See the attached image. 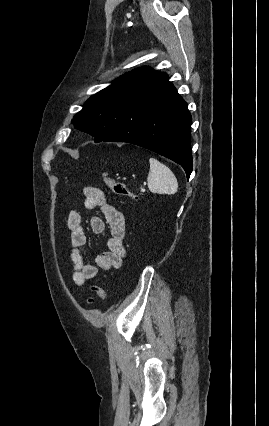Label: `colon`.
Here are the masks:
<instances>
[{"mask_svg": "<svg viewBox=\"0 0 269 426\" xmlns=\"http://www.w3.org/2000/svg\"><path fill=\"white\" fill-rule=\"evenodd\" d=\"M102 181L104 185L115 195L134 198V194L124 183L114 180L107 173L102 174ZM91 292L92 296L89 298L90 303L101 301L105 298V291L100 285L93 284L91 286Z\"/></svg>", "mask_w": 269, "mask_h": 426, "instance_id": "5ec220e1", "label": "colon"}]
</instances>
